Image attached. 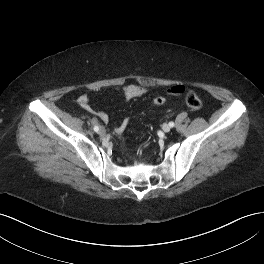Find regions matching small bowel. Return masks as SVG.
I'll list each match as a JSON object with an SVG mask.
<instances>
[{
	"mask_svg": "<svg viewBox=\"0 0 264 264\" xmlns=\"http://www.w3.org/2000/svg\"><path fill=\"white\" fill-rule=\"evenodd\" d=\"M120 92L125 100L137 98L144 96L148 93V88L140 85L135 84H128L123 87H121ZM185 91V87L181 84H176L167 89V93L170 96H178L181 95ZM77 104L80 108L83 110L93 114L97 119L102 121L103 123H107L109 121V116L107 113L96 110L92 108L89 104V97L86 94H82L77 98ZM128 120H124L123 123L116 129L118 132L124 130V128L127 126Z\"/></svg>",
	"mask_w": 264,
	"mask_h": 264,
	"instance_id": "small-bowel-1",
	"label": "small bowel"
}]
</instances>
